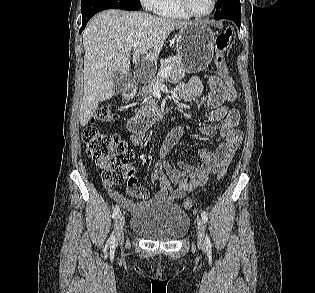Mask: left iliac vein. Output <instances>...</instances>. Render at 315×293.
Segmentation results:
<instances>
[{
    "instance_id": "obj_1",
    "label": "left iliac vein",
    "mask_w": 315,
    "mask_h": 293,
    "mask_svg": "<svg viewBox=\"0 0 315 293\" xmlns=\"http://www.w3.org/2000/svg\"><path fill=\"white\" fill-rule=\"evenodd\" d=\"M197 237H198V246L204 248L205 246V225L201 218H197Z\"/></svg>"
}]
</instances>
